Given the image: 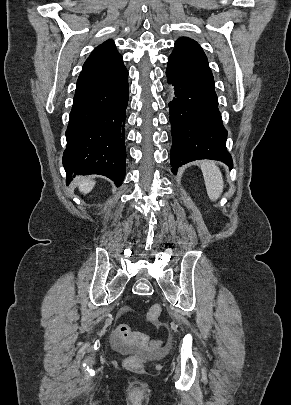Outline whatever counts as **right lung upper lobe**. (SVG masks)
Masks as SVG:
<instances>
[{"label": "right lung upper lobe", "instance_id": "right-lung-upper-lobe-1", "mask_svg": "<svg viewBox=\"0 0 291 405\" xmlns=\"http://www.w3.org/2000/svg\"><path fill=\"white\" fill-rule=\"evenodd\" d=\"M122 59L112 40L96 47L83 65L76 91L116 78L126 70Z\"/></svg>", "mask_w": 291, "mask_h": 405}]
</instances>
